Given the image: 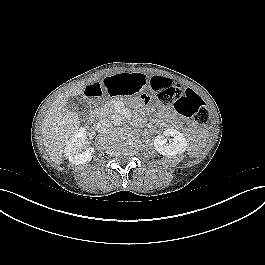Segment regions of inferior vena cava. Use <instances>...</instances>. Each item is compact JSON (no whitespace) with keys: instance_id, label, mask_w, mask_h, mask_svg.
Wrapping results in <instances>:
<instances>
[{"instance_id":"obj_1","label":"inferior vena cava","mask_w":265,"mask_h":265,"mask_svg":"<svg viewBox=\"0 0 265 265\" xmlns=\"http://www.w3.org/2000/svg\"><path fill=\"white\" fill-rule=\"evenodd\" d=\"M112 128V123L108 118H102L96 125V129L99 133L105 134Z\"/></svg>"}]
</instances>
